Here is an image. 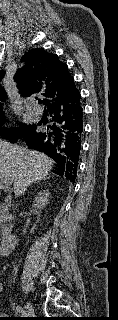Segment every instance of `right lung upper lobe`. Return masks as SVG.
<instances>
[{
	"instance_id": "cb5924a9",
	"label": "right lung upper lobe",
	"mask_w": 118,
	"mask_h": 320,
	"mask_svg": "<svg viewBox=\"0 0 118 320\" xmlns=\"http://www.w3.org/2000/svg\"><path fill=\"white\" fill-rule=\"evenodd\" d=\"M22 61L25 65L15 74L22 95L41 94L45 96L44 103L47 105L75 88L67 65L59 61L56 54L48 53L44 49H32L23 56ZM3 75L4 72H0V80ZM5 97L4 89L0 88V100H4Z\"/></svg>"
}]
</instances>
